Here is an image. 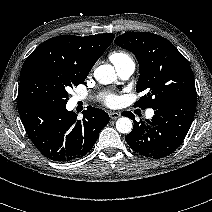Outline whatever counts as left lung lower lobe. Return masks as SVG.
<instances>
[{
  "mask_svg": "<svg viewBox=\"0 0 212 212\" xmlns=\"http://www.w3.org/2000/svg\"><path fill=\"white\" fill-rule=\"evenodd\" d=\"M197 98H181L159 107L151 120L134 122L133 130L125 137L136 153L159 159L173 153L183 142L192 124Z\"/></svg>",
  "mask_w": 212,
  "mask_h": 212,
  "instance_id": "1",
  "label": "left lung lower lobe"
}]
</instances>
